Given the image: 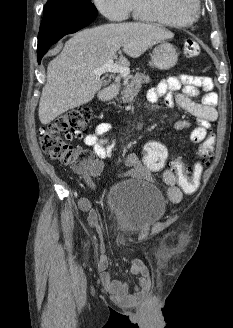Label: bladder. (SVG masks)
<instances>
[{"label":"bladder","instance_id":"bladder-1","mask_svg":"<svg viewBox=\"0 0 233 328\" xmlns=\"http://www.w3.org/2000/svg\"><path fill=\"white\" fill-rule=\"evenodd\" d=\"M105 203L120 231L138 234L160 221L166 212L162 192L153 184L122 181L112 185Z\"/></svg>","mask_w":233,"mask_h":328}]
</instances>
